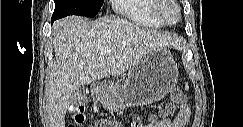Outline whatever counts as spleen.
<instances>
[{
    "mask_svg": "<svg viewBox=\"0 0 243 127\" xmlns=\"http://www.w3.org/2000/svg\"><path fill=\"white\" fill-rule=\"evenodd\" d=\"M186 89H188V85L186 84Z\"/></svg>",
    "mask_w": 243,
    "mask_h": 127,
    "instance_id": "obj_1",
    "label": "spleen"
}]
</instances>
